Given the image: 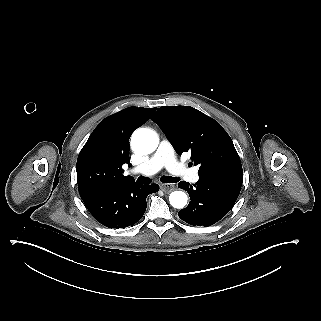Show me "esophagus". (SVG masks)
Returning a JSON list of instances; mask_svg holds the SVG:
<instances>
[{
    "label": "esophagus",
    "mask_w": 321,
    "mask_h": 321,
    "mask_svg": "<svg viewBox=\"0 0 321 321\" xmlns=\"http://www.w3.org/2000/svg\"><path fill=\"white\" fill-rule=\"evenodd\" d=\"M174 185L173 184H162L160 186L161 190L164 192V193H170L173 189H174Z\"/></svg>",
    "instance_id": "obj_1"
}]
</instances>
